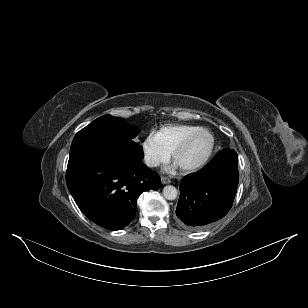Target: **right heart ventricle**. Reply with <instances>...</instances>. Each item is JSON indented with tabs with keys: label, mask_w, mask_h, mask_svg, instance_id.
<instances>
[{
	"label": "right heart ventricle",
	"mask_w": 308,
	"mask_h": 308,
	"mask_svg": "<svg viewBox=\"0 0 308 308\" xmlns=\"http://www.w3.org/2000/svg\"><path fill=\"white\" fill-rule=\"evenodd\" d=\"M199 128L201 127L196 125L169 124L155 131L154 137L169 153H172L186 136Z\"/></svg>",
	"instance_id": "right-heart-ventricle-1"
}]
</instances>
